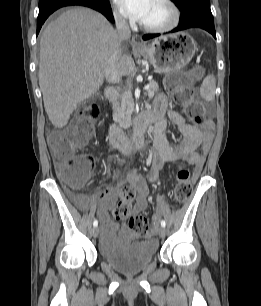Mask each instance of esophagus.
<instances>
[{
    "label": "esophagus",
    "mask_w": 261,
    "mask_h": 306,
    "mask_svg": "<svg viewBox=\"0 0 261 306\" xmlns=\"http://www.w3.org/2000/svg\"><path fill=\"white\" fill-rule=\"evenodd\" d=\"M132 46L135 49H140L142 47V44L140 43L138 37L135 35L132 37Z\"/></svg>",
    "instance_id": "1"
}]
</instances>
